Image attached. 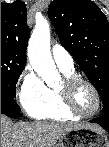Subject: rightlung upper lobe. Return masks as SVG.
I'll list each match as a JSON object with an SVG mask.
<instances>
[{"mask_svg":"<svg viewBox=\"0 0 109 147\" xmlns=\"http://www.w3.org/2000/svg\"><path fill=\"white\" fill-rule=\"evenodd\" d=\"M27 9L23 1L1 3V51L26 62L29 39Z\"/></svg>","mask_w":109,"mask_h":147,"instance_id":"cb5924a9","label":"right lung upper lobe"}]
</instances>
